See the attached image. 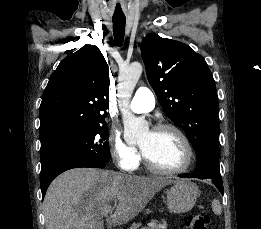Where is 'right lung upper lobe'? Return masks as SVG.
I'll return each mask as SVG.
<instances>
[{
    "label": "right lung upper lobe",
    "mask_w": 261,
    "mask_h": 229,
    "mask_svg": "<svg viewBox=\"0 0 261 229\" xmlns=\"http://www.w3.org/2000/svg\"><path fill=\"white\" fill-rule=\"evenodd\" d=\"M108 105L107 62L97 47L86 45L63 59L50 76L40 105V150L104 122Z\"/></svg>",
    "instance_id": "obj_1"
}]
</instances>
